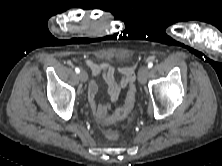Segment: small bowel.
Masks as SVG:
<instances>
[{
  "label": "small bowel",
  "mask_w": 222,
  "mask_h": 166,
  "mask_svg": "<svg viewBox=\"0 0 222 166\" xmlns=\"http://www.w3.org/2000/svg\"><path fill=\"white\" fill-rule=\"evenodd\" d=\"M86 66L91 70L92 74L97 76L103 74L105 82L108 86V96L110 102H116L119 99L121 91L128 85L135 81V69L133 66H123L118 68V73L121 79H115L116 69L106 63H95L93 61H86ZM98 84L97 81L92 79L88 85V100L94 115L102 125H106L107 114L110 110L109 103H101L97 101Z\"/></svg>",
  "instance_id": "c3829d8e"
}]
</instances>
